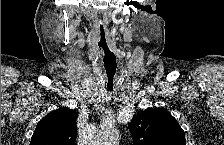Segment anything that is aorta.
Masks as SVG:
<instances>
[{
  "label": "aorta",
  "instance_id": "obj_1",
  "mask_svg": "<svg viewBox=\"0 0 224 145\" xmlns=\"http://www.w3.org/2000/svg\"><path fill=\"white\" fill-rule=\"evenodd\" d=\"M119 140V132L112 126L104 127L96 137V145H116Z\"/></svg>",
  "mask_w": 224,
  "mask_h": 145
}]
</instances>
